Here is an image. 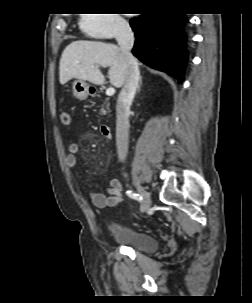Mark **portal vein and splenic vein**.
Returning a JSON list of instances; mask_svg holds the SVG:
<instances>
[{"label": "portal vein and splenic vein", "mask_w": 252, "mask_h": 303, "mask_svg": "<svg viewBox=\"0 0 252 303\" xmlns=\"http://www.w3.org/2000/svg\"><path fill=\"white\" fill-rule=\"evenodd\" d=\"M115 94V89L113 87H110L106 90L107 96H113Z\"/></svg>", "instance_id": "obj_1"}]
</instances>
